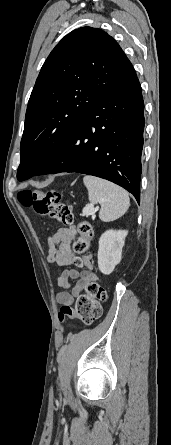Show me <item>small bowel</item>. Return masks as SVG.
<instances>
[{
	"label": "small bowel",
	"mask_w": 171,
	"mask_h": 445,
	"mask_svg": "<svg viewBox=\"0 0 171 445\" xmlns=\"http://www.w3.org/2000/svg\"><path fill=\"white\" fill-rule=\"evenodd\" d=\"M74 234L75 231L72 227H62L48 236L49 249L46 257L48 264L65 265L74 258V253L69 250ZM83 262L86 267L84 270L63 269L58 272L55 283L63 288V291L56 295L58 303L72 305L87 284L96 280L95 274L91 272L92 262L90 257H85ZM71 280H75L74 285H72Z\"/></svg>",
	"instance_id": "c3829d8e"
}]
</instances>
